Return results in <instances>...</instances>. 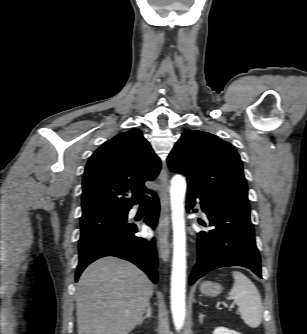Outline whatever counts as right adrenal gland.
Wrapping results in <instances>:
<instances>
[{
    "label": "right adrenal gland",
    "mask_w": 307,
    "mask_h": 334,
    "mask_svg": "<svg viewBox=\"0 0 307 334\" xmlns=\"http://www.w3.org/2000/svg\"><path fill=\"white\" fill-rule=\"evenodd\" d=\"M152 316V308L151 305L148 304L147 309H146V314L142 317V319L140 320L139 324L141 325L142 322L146 319V318H151Z\"/></svg>",
    "instance_id": "right-adrenal-gland-1"
}]
</instances>
